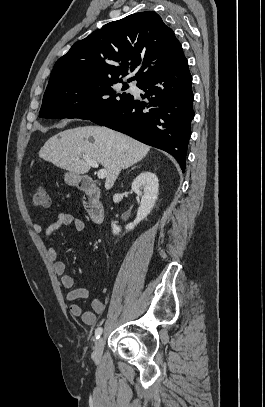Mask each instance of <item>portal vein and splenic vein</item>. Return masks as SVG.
Wrapping results in <instances>:
<instances>
[{
	"label": "portal vein and splenic vein",
	"instance_id": "1",
	"mask_svg": "<svg viewBox=\"0 0 265 407\" xmlns=\"http://www.w3.org/2000/svg\"><path fill=\"white\" fill-rule=\"evenodd\" d=\"M82 159L93 168H98V166H99L95 160L90 159L88 156L84 155V156H82ZM97 176L99 179H104L107 176L106 169H100L97 173Z\"/></svg>",
	"mask_w": 265,
	"mask_h": 407
}]
</instances>
